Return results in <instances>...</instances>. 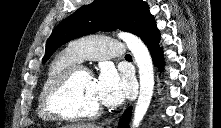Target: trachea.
<instances>
[{
	"label": "trachea",
	"mask_w": 221,
	"mask_h": 128,
	"mask_svg": "<svg viewBox=\"0 0 221 128\" xmlns=\"http://www.w3.org/2000/svg\"><path fill=\"white\" fill-rule=\"evenodd\" d=\"M127 58H131V56L129 54L126 55Z\"/></svg>",
	"instance_id": "obj_1"
}]
</instances>
